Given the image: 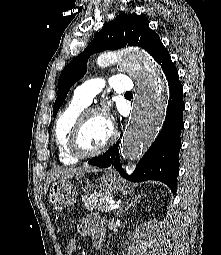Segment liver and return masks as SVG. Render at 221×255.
Instances as JSON below:
<instances>
[{"label":"liver","mask_w":221,"mask_h":255,"mask_svg":"<svg viewBox=\"0 0 221 255\" xmlns=\"http://www.w3.org/2000/svg\"><path fill=\"white\" fill-rule=\"evenodd\" d=\"M97 171L98 169L91 166H87V165L83 166L82 168H75V167L56 168L47 176L45 186H44V192L47 193L48 186L50 185V183L57 179H68V178L77 176L79 174H82L84 172H97Z\"/></svg>","instance_id":"1"}]
</instances>
